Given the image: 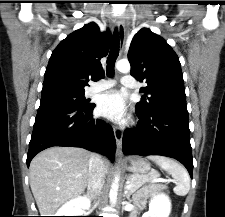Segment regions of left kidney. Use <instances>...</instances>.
<instances>
[{
    "label": "left kidney",
    "mask_w": 225,
    "mask_h": 217,
    "mask_svg": "<svg viewBox=\"0 0 225 217\" xmlns=\"http://www.w3.org/2000/svg\"><path fill=\"white\" fill-rule=\"evenodd\" d=\"M171 211V202L164 194L155 195L149 203V211L142 217H168Z\"/></svg>",
    "instance_id": "1"
}]
</instances>
